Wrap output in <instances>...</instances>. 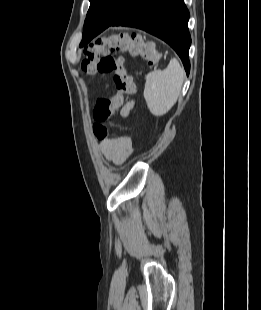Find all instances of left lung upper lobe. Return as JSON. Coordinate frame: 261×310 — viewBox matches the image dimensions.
I'll return each instance as SVG.
<instances>
[{
    "label": "left lung upper lobe",
    "instance_id": "1",
    "mask_svg": "<svg viewBox=\"0 0 261 310\" xmlns=\"http://www.w3.org/2000/svg\"><path fill=\"white\" fill-rule=\"evenodd\" d=\"M125 0H90L85 22L94 20L109 21L119 12Z\"/></svg>",
    "mask_w": 261,
    "mask_h": 310
}]
</instances>
